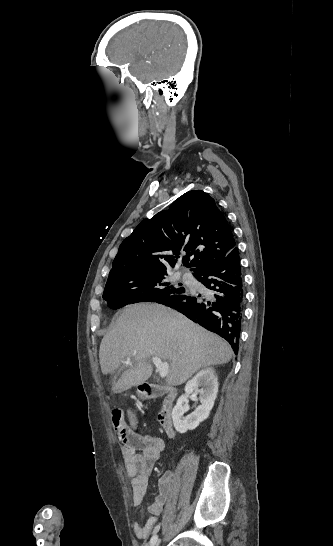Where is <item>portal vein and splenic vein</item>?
Segmentation results:
<instances>
[{
	"mask_svg": "<svg viewBox=\"0 0 333 546\" xmlns=\"http://www.w3.org/2000/svg\"><path fill=\"white\" fill-rule=\"evenodd\" d=\"M152 363L155 365L157 371L159 372L160 376L162 378L166 377L169 371V364L168 362H162L159 357H152ZM127 363L131 362L130 358H127Z\"/></svg>",
	"mask_w": 333,
	"mask_h": 546,
	"instance_id": "18ae733b",
	"label": "portal vein and splenic vein"
}]
</instances>
